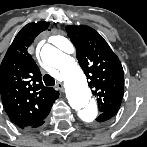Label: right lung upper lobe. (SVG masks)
I'll use <instances>...</instances> for the list:
<instances>
[{"mask_svg": "<svg viewBox=\"0 0 147 147\" xmlns=\"http://www.w3.org/2000/svg\"><path fill=\"white\" fill-rule=\"evenodd\" d=\"M48 22L24 26L14 38L0 66V94L10 120L20 128L31 127L49 114L59 92L45 87L41 73L27 52L35 37Z\"/></svg>", "mask_w": 147, "mask_h": 147, "instance_id": "cb5924a9", "label": "right lung upper lobe"}]
</instances>
